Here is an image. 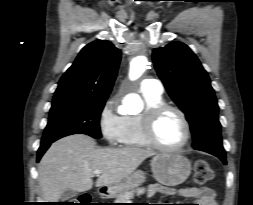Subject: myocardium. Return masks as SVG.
Masks as SVG:
<instances>
[{
	"mask_svg": "<svg viewBox=\"0 0 253 205\" xmlns=\"http://www.w3.org/2000/svg\"><path fill=\"white\" fill-rule=\"evenodd\" d=\"M175 112L179 115L182 122L184 123L186 135L182 143L176 146H166L159 142L156 135V126L160 118L167 112ZM142 130L145 140L148 144L161 151H177L184 148L190 141L192 131L191 124L186 114L178 107L167 103H162L147 109L143 116Z\"/></svg>",
	"mask_w": 253,
	"mask_h": 205,
	"instance_id": "1",
	"label": "myocardium"
}]
</instances>
